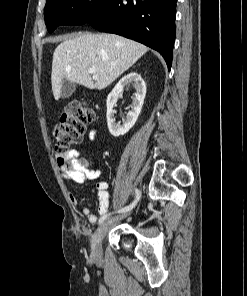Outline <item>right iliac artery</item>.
I'll return each instance as SVG.
<instances>
[{"mask_svg": "<svg viewBox=\"0 0 247 296\" xmlns=\"http://www.w3.org/2000/svg\"><path fill=\"white\" fill-rule=\"evenodd\" d=\"M135 199H134V201L130 204V205H128V206H126V207H124V208H122V209H120V210H118V213H124V212H127V211H129V210H131L133 207H135V205L137 204V202L139 201V199H140V197H141V192L138 190V189H136L135 190ZM111 214H113V213H109V214H107V215H104V216H102L100 219H99V224L100 223H102V222H104Z\"/></svg>", "mask_w": 247, "mask_h": 296, "instance_id": "right-iliac-artery-1", "label": "right iliac artery"}]
</instances>
